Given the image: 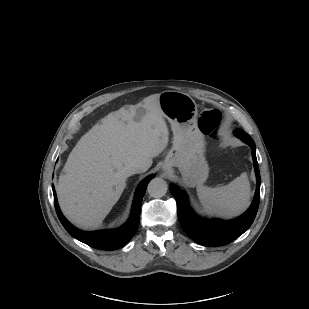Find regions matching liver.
Wrapping results in <instances>:
<instances>
[{"label":"liver","mask_w":309,"mask_h":309,"mask_svg":"<svg viewBox=\"0 0 309 309\" xmlns=\"http://www.w3.org/2000/svg\"><path fill=\"white\" fill-rule=\"evenodd\" d=\"M139 109L144 114L136 119ZM168 142L159 94L107 115L81 137L59 177L64 215L80 228L100 226L126 187L127 171L136 165L148 170Z\"/></svg>","instance_id":"6515ba94"}]
</instances>
